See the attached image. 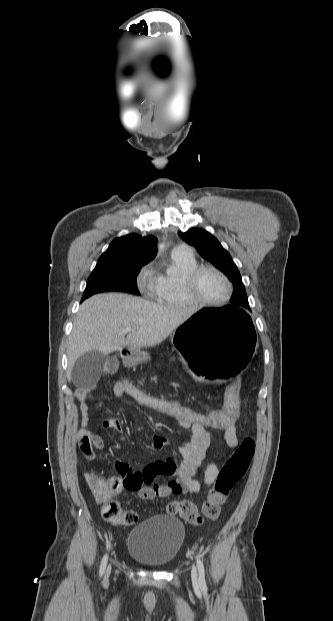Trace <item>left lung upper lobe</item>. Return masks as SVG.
I'll return each instance as SVG.
<instances>
[{
    "instance_id": "obj_1",
    "label": "left lung upper lobe",
    "mask_w": 333,
    "mask_h": 621,
    "mask_svg": "<svg viewBox=\"0 0 333 621\" xmlns=\"http://www.w3.org/2000/svg\"><path fill=\"white\" fill-rule=\"evenodd\" d=\"M178 234L188 244L194 246L204 259L227 274L233 281L234 294L230 300L231 306L241 310H250L245 287L237 266L219 241L209 232L198 228H192L187 232H178Z\"/></svg>"
}]
</instances>
